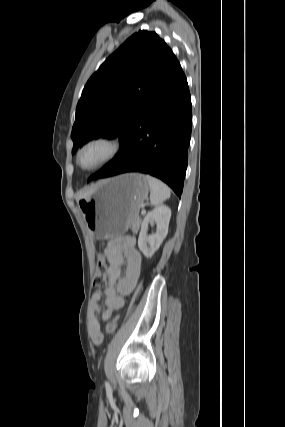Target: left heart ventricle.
<instances>
[{"label":"left heart ventricle","mask_w":285,"mask_h":427,"mask_svg":"<svg viewBox=\"0 0 285 427\" xmlns=\"http://www.w3.org/2000/svg\"><path fill=\"white\" fill-rule=\"evenodd\" d=\"M107 153V147L102 144H96L89 147L82 156V165L90 167L98 163Z\"/></svg>","instance_id":"b2bd125f"}]
</instances>
